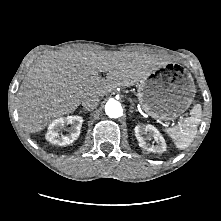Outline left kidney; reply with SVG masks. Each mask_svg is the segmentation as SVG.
I'll list each match as a JSON object with an SVG mask.
<instances>
[{
	"mask_svg": "<svg viewBox=\"0 0 221 221\" xmlns=\"http://www.w3.org/2000/svg\"><path fill=\"white\" fill-rule=\"evenodd\" d=\"M135 136L139 142V146L148 152L153 153H163L166 151V143L163 136L160 134L157 128L148 124V125H137L134 128ZM144 135H147L144 138ZM154 139L155 145H150L146 140L150 138Z\"/></svg>",
	"mask_w": 221,
	"mask_h": 221,
	"instance_id": "5707ae66",
	"label": "left kidney"
}]
</instances>
